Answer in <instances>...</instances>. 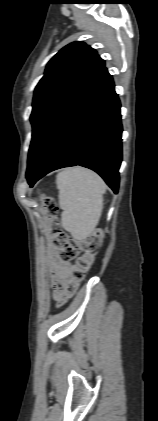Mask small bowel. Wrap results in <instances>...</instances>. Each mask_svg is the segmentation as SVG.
Masks as SVG:
<instances>
[{"instance_id":"obj_1","label":"small bowel","mask_w":158,"mask_h":421,"mask_svg":"<svg viewBox=\"0 0 158 421\" xmlns=\"http://www.w3.org/2000/svg\"><path fill=\"white\" fill-rule=\"evenodd\" d=\"M71 264L62 261L55 247L49 249V270L53 285V298L62 300L66 296L65 284L69 277Z\"/></svg>"}]
</instances>
